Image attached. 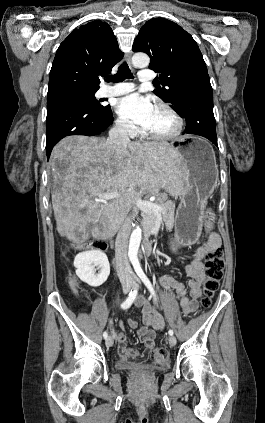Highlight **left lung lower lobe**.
I'll use <instances>...</instances> for the list:
<instances>
[{
  "instance_id": "left-lung-lower-lobe-1",
  "label": "left lung lower lobe",
  "mask_w": 265,
  "mask_h": 423,
  "mask_svg": "<svg viewBox=\"0 0 265 423\" xmlns=\"http://www.w3.org/2000/svg\"><path fill=\"white\" fill-rule=\"evenodd\" d=\"M178 98L175 112L186 119L184 133L203 136L218 146L209 75H199L184 83Z\"/></svg>"
}]
</instances>
